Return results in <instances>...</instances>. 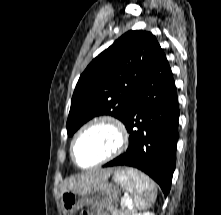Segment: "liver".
Segmentation results:
<instances>
[{"label": "liver", "mask_w": 221, "mask_h": 215, "mask_svg": "<svg viewBox=\"0 0 221 215\" xmlns=\"http://www.w3.org/2000/svg\"><path fill=\"white\" fill-rule=\"evenodd\" d=\"M112 173V169H103L71 177L62 184L61 191L88 188L96 183L106 181Z\"/></svg>", "instance_id": "liver-1"}]
</instances>
